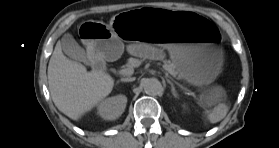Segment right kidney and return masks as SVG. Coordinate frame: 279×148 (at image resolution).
<instances>
[{
	"label": "right kidney",
	"instance_id": "right-kidney-1",
	"mask_svg": "<svg viewBox=\"0 0 279 148\" xmlns=\"http://www.w3.org/2000/svg\"><path fill=\"white\" fill-rule=\"evenodd\" d=\"M127 97L125 95H117L110 97L98 107V114L105 120H115L119 118L126 108Z\"/></svg>",
	"mask_w": 279,
	"mask_h": 148
}]
</instances>
